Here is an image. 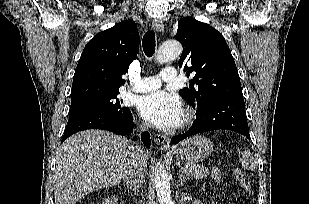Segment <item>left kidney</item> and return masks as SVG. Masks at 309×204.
Segmentation results:
<instances>
[{"mask_svg": "<svg viewBox=\"0 0 309 204\" xmlns=\"http://www.w3.org/2000/svg\"><path fill=\"white\" fill-rule=\"evenodd\" d=\"M212 204H215V202L212 200ZM216 204H217V202H216Z\"/></svg>", "mask_w": 309, "mask_h": 204, "instance_id": "1", "label": "left kidney"}]
</instances>
